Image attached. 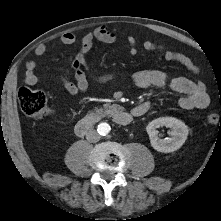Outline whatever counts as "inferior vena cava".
<instances>
[{
  "label": "inferior vena cava",
  "mask_w": 221,
  "mask_h": 221,
  "mask_svg": "<svg viewBox=\"0 0 221 221\" xmlns=\"http://www.w3.org/2000/svg\"><path fill=\"white\" fill-rule=\"evenodd\" d=\"M86 139L91 143H96L100 140V135L94 129H90L86 134Z\"/></svg>",
  "instance_id": "1"
}]
</instances>
